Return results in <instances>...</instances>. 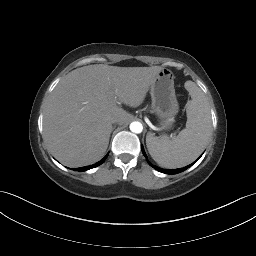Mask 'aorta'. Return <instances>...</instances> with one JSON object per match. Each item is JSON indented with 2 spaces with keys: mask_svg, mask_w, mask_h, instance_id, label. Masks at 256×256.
<instances>
[{
  "mask_svg": "<svg viewBox=\"0 0 256 256\" xmlns=\"http://www.w3.org/2000/svg\"><path fill=\"white\" fill-rule=\"evenodd\" d=\"M130 130L133 132V133H141L142 130H143V126L140 122L138 121H134L130 124Z\"/></svg>",
  "mask_w": 256,
  "mask_h": 256,
  "instance_id": "1",
  "label": "aorta"
}]
</instances>
